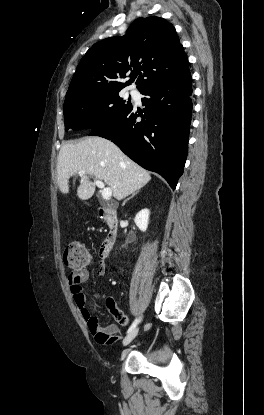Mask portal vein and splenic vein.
<instances>
[{
    "instance_id": "1",
    "label": "portal vein and splenic vein",
    "mask_w": 264,
    "mask_h": 415,
    "mask_svg": "<svg viewBox=\"0 0 264 415\" xmlns=\"http://www.w3.org/2000/svg\"><path fill=\"white\" fill-rule=\"evenodd\" d=\"M78 174H79L80 176H82V175H84V174H85V171H84V170H80V171L78 172ZM95 185H96L98 188H100V189H101V195H102V197H103L105 200H110V198H111V196H112V190H111V188H109V187H105V184H104L102 181H100V180H96V181H95Z\"/></svg>"
}]
</instances>
